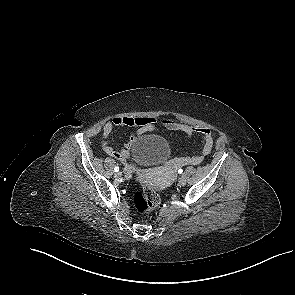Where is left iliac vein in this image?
<instances>
[{"instance_id": "1", "label": "left iliac vein", "mask_w": 295, "mask_h": 295, "mask_svg": "<svg viewBox=\"0 0 295 295\" xmlns=\"http://www.w3.org/2000/svg\"><path fill=\"white\" fill-rule=\"evenodd\" d=\"M186 178L184 176H181L180 179H179V184L181 186H184L186 184Z\"/></svg>"}]
</instances>
